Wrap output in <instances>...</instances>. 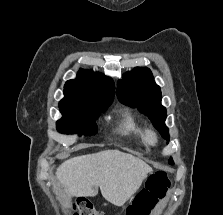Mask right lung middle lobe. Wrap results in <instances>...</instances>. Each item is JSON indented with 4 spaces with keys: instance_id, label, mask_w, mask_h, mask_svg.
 <instances>
[{
    "instance_id": "right-lung-middle-lobe-1",
    "label": "right lung middle lobe",
    "mask_w": 223,
    "mask_h": 215,
    "mask_svg": "<svg viewBox=\"0 0 223 215\" xmlns=\"http://www.w3.org/2000/svg\"><path fill=\"white\" fill-rule=\"evenodd\" d=\"M106 109H96L91 107L61 108L63 117L57 121L56 128L63 134L79 133L91 136L97 132L94 123L100 112Z\"/></svg>"
}]
</instances>
